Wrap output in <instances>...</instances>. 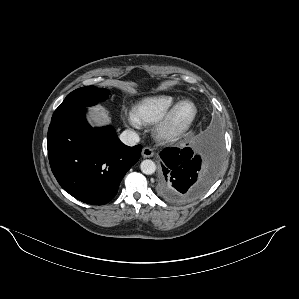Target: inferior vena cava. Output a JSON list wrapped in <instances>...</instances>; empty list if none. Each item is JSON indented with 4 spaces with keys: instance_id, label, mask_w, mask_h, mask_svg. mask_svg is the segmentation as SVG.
I'll list each match as a JSON object with an SVG mask.
<instances>
[{
    "instance_id": "obj_1",
    "label": "inferior vena cava",
    "mask_w": 299,
    "mask_h": 299,
    "mask_svg": "<svg viewBox=\"0 0 299 299\" xmlns=\"http://www.w3.org/2000/svg\"><path fill=\"white\" fill-rule=\"evenodd\" d=\"M120 140L127 146H134L136 145L140 138L139 135L132 129H127L120 134Z\"/></svg>"
}]
</instances>
